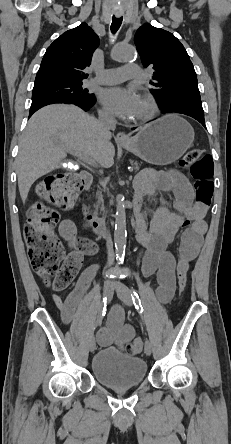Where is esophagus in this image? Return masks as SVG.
Returning a JSON list of instances; mask_svg holds the SVG:
<instances>
[{
    "instance_id": "1",
    "label": "esophagus",
    "mask_w": 231,
    "mask_h": 444,
    "mask_svg": "<svg viewBox=\"0 0 231 444\" xmlns=\"http://www.w3.org/2000/svg\"><path fill=\"white\" fill-rule=\"evenodd\" d=\"M116 15L117 16H120L121 15V12L120 11H117L116 12ZM116 141L117 142H127L128 141V137L123 133V132H119L117 135H116Z\"/></svg>"
}]
</instances>
